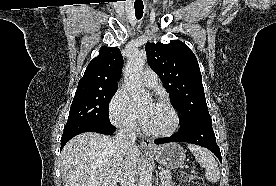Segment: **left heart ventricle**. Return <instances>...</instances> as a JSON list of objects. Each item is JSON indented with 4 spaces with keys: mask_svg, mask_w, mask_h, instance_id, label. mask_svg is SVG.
I'll list each match as a JSON object with an SVG mask.
<instances>
[{
    "mask_svg": "<svg viewBox=\"0 0 276 186\" xmlns=\"http://www.w3.org/2000/svg\"><path fill=\"white\" fill-rule=\"evenodd\" d=\"M150 111L148 121L145 126L151 131H166L173 125V115L168 108L159 103H148L143 107V111Z\"/></svg>",
    "mask_w": 276,
    "mask_h": 186,
    "instance_id": "b2bd125f",
    "label": "left heart ventricle"
}]
</instances>
